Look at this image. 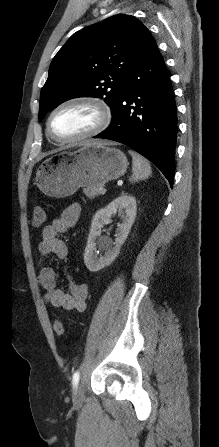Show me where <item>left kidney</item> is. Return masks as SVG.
Segmentation results:
<instances>
[{"label": "left kidney", "mask_w": 219, "mask_h": 447, "mask_svg": "<svg viewBox=\"0 0 219 447\" xmlns=\"http://www.w3.org/2000/svg\"><path fill=\"white\" fill-rule=\"evenodd\" d=\"M136 200L130 194H122L110 202L105 208L99 209L92 218L91 228L87 239L84 253V263L91 272H97L110 265L118 256L120 248L125 242L136 217ZM118 213L122 223L118 225L115 242L100 236L101 228L111 218ZM105 250L104 255L98 256L96 245Z\"/></svg>", "instance_id": "1"}]
</instances>
